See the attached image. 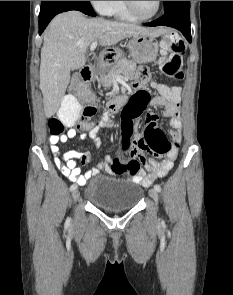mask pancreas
Instances as JSON below:
<instances>
[{"label": "pancreas", "mask_w": 233, "mask_h": 295, "mask_svg": "<svg viewBox=\"0 0 233 295\" xmlns=\"http://www.w3.org/2000/svg\"><path fill=\"white\" fill-rule=\"evenodd\" d=\"M135 71L136 63L134 61L127 58H121L107 70V74L101 75L98 82L105 88H109L116 77L130 79L134 76Z\"/></svg>", "instance_id": "obj_1"}]
</instances>
